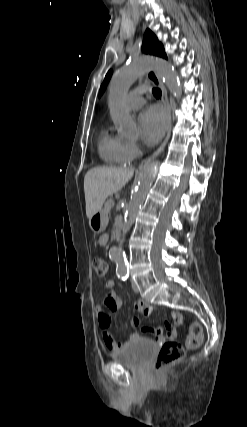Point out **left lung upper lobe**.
Returning <instances> with one entry per match:
<instances>
[{
  "instance_id": "1",
  "label": "left lung upper lobe",
  "mask_w": 247,
  "mask_h": 427,
  "mask_svg": "<svg viewBox=\"0 0 247 427\" xmlns=\"http://www.w3.org/2000/svg\"><path fill=\"white\" fill-rule=\"evenodd\" d=\"M142 49H143L144 53H149V54L160 56L162 58L167 59V56L164 52L163 45L158 41L155 34L152 33L149 29H147L145 34H144ZM111 74H112V71L110 70L107 73V75H106V77H105V79H104V81L100 87L99 96L105 90L106 85L108 84V82L110 80Z\"/></svg>"
}]
</instances>
